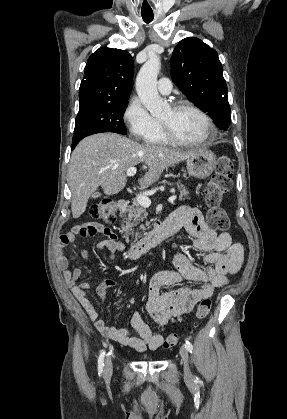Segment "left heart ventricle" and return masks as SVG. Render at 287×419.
<instances>
[{"instance_id": "1", "label": "left heart ventricle", "mask_w": 287, "mask_h": 419, "mask_svg": "<svg viewBox=\"0 0 287 419\" xmlns=\"http://www.w3.org/2000/svg\"><path fill=\"white\" fill-rule=\"evenodd\" d=\"M169 130L178 138L186 141H197L207 134L203 119L191 109H173L169 107L160 116Z\"/></svg>"}]
</instances>
